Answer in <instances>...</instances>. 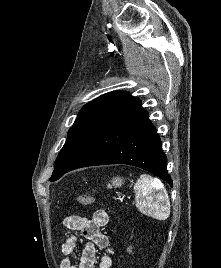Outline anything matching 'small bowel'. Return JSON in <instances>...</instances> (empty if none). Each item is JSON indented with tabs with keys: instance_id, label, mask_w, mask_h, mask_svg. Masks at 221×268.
Segmentation results:
<instances>
[{
	"instance_id": "small-bowel-1",
	"label": "small bowel",
	"mask_w": 221,
	"mask_h": 268,
	"mask_svg": "<svg viewBox=\"0 0 221 268\" xmlns=\"http://www.w3.org/2000/svg\"><path fill=\"white\" fill-rule=\"evenodd\" d=\"M109 223V216L104 210H97L91 218L79 215H72L64 220V225L71 231H80L88 240L83 249L80 263L74 265L73 258L77 247V239L70 235L61 246V252L67 256L62 260L60 268H111V254L113 249L110 246V240L102 229ZM96 248L105 249L107 254L96 261Z\"/></svg>"
}]
</instances>
